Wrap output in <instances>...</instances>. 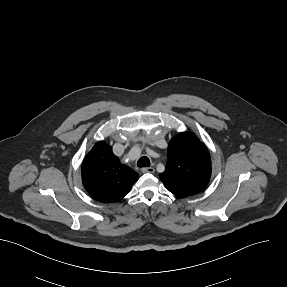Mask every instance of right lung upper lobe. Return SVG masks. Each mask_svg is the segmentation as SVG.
I'll return each instance as SVG.
<instances>
[{"instance_id":"1","label":"right lung upper lobe","mask_w":287,"mask_h":287,"mask_svg":"<svg viewBox=\"0 0 287 287\" xmlns=\"http://www.w3.org/2000/svg\"><path fill=\"white\" fill-rule=\"evenodd\" d=\"M82 181L87 192L101 202H117L125 197L139 176L120 163L112 148L98 142L82 163Z\"/></svg>"}]
</instances>
